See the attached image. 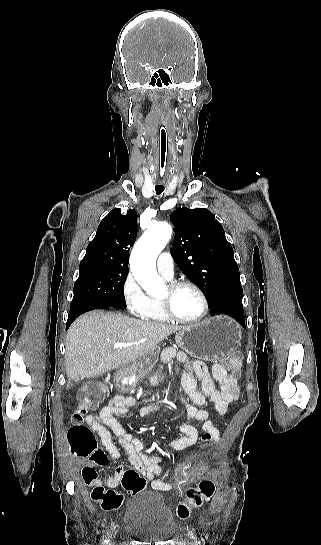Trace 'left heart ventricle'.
I'll use <instances>...</instances> for the list:
<instances>
[{
	"label": "left heart ventricle",
	"mask_w": 321,
	"mask_h": 545,
	"mask_svg": "<svg viewBox=\"0 0 321 545\" xmlns=\"http://www.w3.org/2000/svg\"><path fill=\"white\" fill-rule=\"evenodd\" d=\"M160 302L167 303L179 317L184 319H194L202 310L200 296L191 288H183L172 293L165 287Z\"/></svg>",
	"instance_id": "left-heart-ventricle-1"
}]
</instances>
